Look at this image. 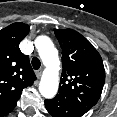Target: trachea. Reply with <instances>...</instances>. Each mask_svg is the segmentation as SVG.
<instances>
[{"label":"trachea","instance_id":"1","mask_svg":"<svg viewBox=\"0 0 117 117\" xmlns=\"http://www.w3.org/2000/svg\"><path fill=\"white\" fill-rule=\"evenodd\" d=\"M31 63H32V66H33V68L35 70H38L40 68V66H41V62H40V60L37 57H34L32 59V61H31Z\"/></svg>","mask_w":117,"mask_h":117}]
</instances>
